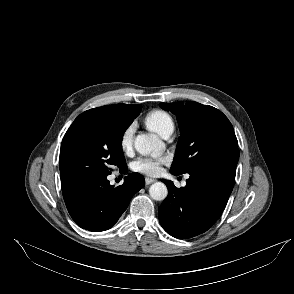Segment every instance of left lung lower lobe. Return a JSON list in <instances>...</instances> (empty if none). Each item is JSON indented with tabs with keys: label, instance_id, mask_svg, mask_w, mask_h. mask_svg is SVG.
Wrapping results in <instances>:
<instances>
[{
	"label": "left lung lower lobe",
	"instance_id": "obj_1",
	"mask_svg": "<svg viewBox=\"0 0 294 294\" xmlns=\"http://www.w3.org/2000/svg\"><path fill=\"white\" fill-rule=\"evenodd\" d=\"M239 149L217 155L190 173L186 186L176 188L173 182L162 180L168 187V197L158 208L164 230L178 239L204 233L217 221L232 192Z\"/></svg>",
	"mask_w": 294,
	"mask_h": 294
}]
</instances>
